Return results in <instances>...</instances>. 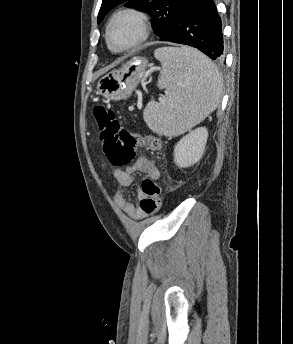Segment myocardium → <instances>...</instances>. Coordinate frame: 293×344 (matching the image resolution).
I'll use <instances>...</instances> for the list:
<instances>
[{
	"label": "myocardium",
	"instance_id": "obj_1",
	"mask_svg": "<svg viewBox=\"0 0 293 344\" xmlns=\"http://www.w3.org/2000/svg\"><path fill=\"white\" fill-rule=\"evenodd\" d=\"M122 17H130L135 20L138 26L139 35L133 43L127 46H123V47H115L111 42L110 31L113 24ZM150 31H151V26H150L149 18L143 11L135 9V8H131V7L122 8L116 11L110 17L107 23L106 30H105L106 43L109 49L113 52H116V53L128 52L142 45L149 37Z\"/></svg>",
	"mask_w": 293,
	"mask_h": 344
}]
</instances>
